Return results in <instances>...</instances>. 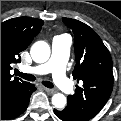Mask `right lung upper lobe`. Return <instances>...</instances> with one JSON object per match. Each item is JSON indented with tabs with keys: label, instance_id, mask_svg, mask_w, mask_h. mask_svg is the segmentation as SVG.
<instances>
[{
	"label": "right lung upper lobe",
	"instance_id": "right-lung-upper-lobe-1",
	"mask_svg": "<svg viewBox=\"0 0 121 121\" xmlns=\"http://www.w3.org/2000/svg\"><path fill=\"white\" fill-rule=\"evenodd\" d=\"M43 23V20L31 17H18L1 23V100L28 83L19 78L12 79L10 70L21 61L20 52L30 45Z\"/></svg>",
	"mask_w": 121,
	"mask_h": 121
}]
</instances>
